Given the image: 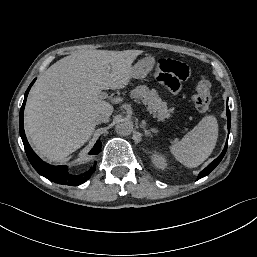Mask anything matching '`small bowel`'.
Segmentation results:
<instances>
[{
  "label": "small bowel",
  "instance_id": "obj_1",
  "mask_svg": "<svg viewBox=\"0 0 257 257\" xmlns=\"http://www.w3.org/2000/svg\"><path fill=\"white\" fill-rule=\"evenodd\" d=\"M153 77L160 91L169 98L179 97L191 79L189 66L175 59H162L153 68Z\"/></svg>",
  "mask_w": 257,
  "mask_h": 257
}]
</instances>
